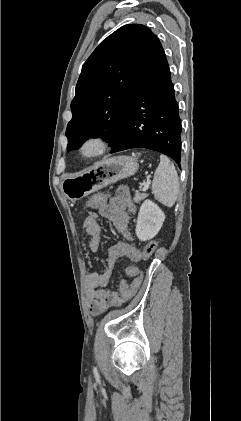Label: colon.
<instances>
[{
	"instance_id": "obj_1",
	"label": "colon",
	"mask_w": 241,
	"mask_h": 421,
	"mask_svg": "<svg viewBox=\"0 0 241 421\" xmlns=\"http://www.w3.org/2000/svg\"><path fill=\"white\" fill-rule=\"evenodd\" d=\"M108 197H109L108 194H105V193L94 194L89 198L87 202V207L89 209L98 208L106 203V201L108 200ZM157 247H158V241L153 240L149 242L144 248V250L142 251V259L144 260L149 259L153 255ZM125 272L128 276L135 277L133 282L130 285H128L125 280H121L119 283V294L121 298H123L124 300H127V299H130L135 294L137 289L140 287L142 279H143V275L138 265L133 261L130 262L126 266Z\"/></svg>"
}]
</instances>
